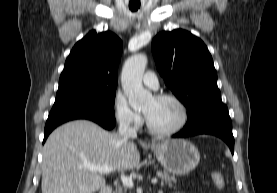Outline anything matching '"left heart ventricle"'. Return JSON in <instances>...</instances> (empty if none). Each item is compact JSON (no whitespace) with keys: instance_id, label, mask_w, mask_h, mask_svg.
<instances>
[{"instance_id":"b2bd125f","label":"left heart ventricle","mask_w":277,"mask_h":193,"mask_svg":"<svg viewBox=\"0 0 277 193\" xmlns=\"http://www.w3.org/2000/svg\"><path fill=\"white\" fill-rule=\"evenodd\" d=\"M150 123L157 129L169 130L181 120L179 106L171 100H156L154 97L146 102L142 108Z\"/></svg>"}]
</instances>
